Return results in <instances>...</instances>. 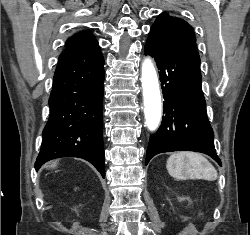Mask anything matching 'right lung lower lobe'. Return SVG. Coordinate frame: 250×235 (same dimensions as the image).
<instances>
[{"instance_id":"right-lung-lower-lobe-1","label":"right lung lower lobe","mask_w":250,"mask_h":235,"mask_svg":"<svg viewBox=\"0 0 250 235\" xmlns=\"http://www.w3.org/2000/svg\"><path fill=\"white\" fill-rule=\"evenodd\" d=\"M104 59L98 42L59 56L49 98L50 115L35 168L60 157H79L105 177L102 137Z\"/></svg>"}]
</instances>
